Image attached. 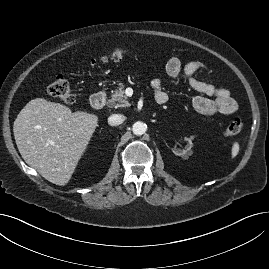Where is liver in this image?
Returning <instances> with one entry per match:
<instances>
[{"label":"liver","instance_id":"6515ba94","mask_svg":"<svg viewBox=\"0 0 269 269\" xmlns=\"http://www.w3.org/2000/svg\"><path fill=\"white\" fill-rule=\"evenodd\" d=\"M97 126V115L72 112L61 103L36 98L20 111L13 132L25 162L46 180L64 186Z\"/></svg>","mask_w":269,"mask_h":269}]
</instances>
